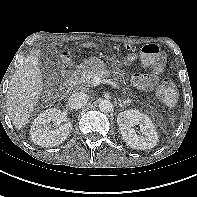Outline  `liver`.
I'll use <instances>...</instances> for the list:
<instances>
[{
    "label": "liver",
    "mask_w": 197,
    "mask_h": 197,
    "mask_svg": "<svg viewBox=\"0 0 197 197\" xmlns=\"http://www.w3.org/2000/svg\"><path fill=\"white\" fill-rule=\"evenodd\" d=\"M83 47H92V43L86 42ZM39 53L40 50H33L26 56L9 83L6 96L7 112L12 124L17 128L26 125L43 90Z\"/></svg>",
    "instance_id": "liver-1"
}]
</instances>
